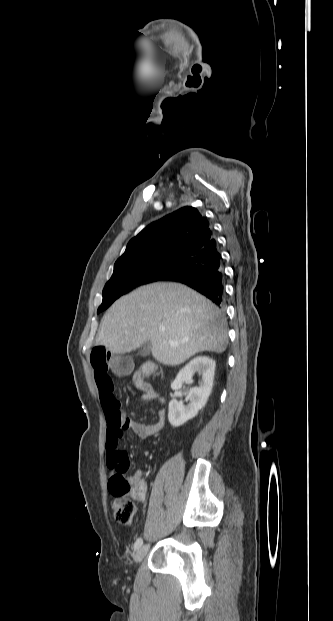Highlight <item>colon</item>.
<instances>
[{"label": "colon", "mask_w": 333, "mask_h": 621, "mask_svg": "<svg viewBox=\"0 0 333 621\" xmlns=\"http://www.w3.org/2000/svg\"><path fill=\"white\" fill-rule=\"evenodd\" d=\"M156 365L148 362L141 365L135 372L134 377L144 379L156 372ZM127 469L117 466L112 469L109 478V490L115 497L112 509L114 518L118 523L131 524L136 515V508L131 500L143 491L140 482L126 476Z\"/></svg>", "instance_id": "5ec220e1"}]
</instances>
